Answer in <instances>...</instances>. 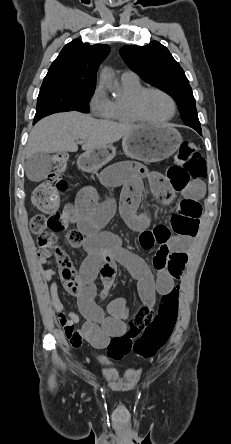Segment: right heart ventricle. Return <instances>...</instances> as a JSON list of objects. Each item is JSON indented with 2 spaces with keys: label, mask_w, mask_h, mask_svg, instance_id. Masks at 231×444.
I'll return each mask as SVG.
<instances>
[{
  "label": "right heart ventricle",
  "mask_w": 231,
  "mask_h": 444,
  "mask_svg": "<svg viewBox=\"0 0 231 444\" xmlns=\"http://www.w3.org/2000/svg\"><path fill=\"white\" fill-rule=\"evenodd\" d=\"M123 96L110 101L109 111L105 118L122 124L139 122L131 112L130 102L133 96L143 88L138 79H122Z\"/></svg>",
  "instance_id": "e07e8e85"
}]
</instances>
